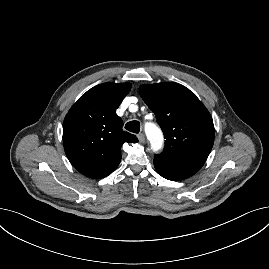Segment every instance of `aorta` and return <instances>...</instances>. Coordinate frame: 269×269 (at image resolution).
Masks as SVG:
<instances>
[{
  "mask_svg": "<svg viewBox=\"0 0 269 269\" xmlns=\"http://www.w3.org/2000/svg\"><path fill=\"white\" fill-rule=\"evenodd\" d=\"M145 132L148 140L150 141L151 148L154 152H157L163 147V134L159 127L153 123H148L145 125Z\"/></svg>",
  "mask_w": 269,
  "mask_h": 269,
  "instance_id": "762f6f07",
  "label": "aorta"
}]
</instances>
